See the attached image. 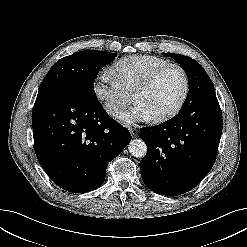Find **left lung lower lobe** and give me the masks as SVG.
Returning a JSON list of instances; mask_svg holds the SVG:
<instances>
[{"label": "left lung lower lobe", "instance_id": "obj_1", "mask_svg": "<svg viewBox=\"0 0 247 247\" xmlns=\"http://www.w3.org/2000/svg\"><path fill=\"white\" fill-rule=\"evenodd\" d=\"M222 133L218 100L186 107L170 120L140 129L147 145L140 162L145 185L166 196L193 189L212 168Z\"/></svg>", "mask_w": 247, "mask_h": 247}]
</instances>
